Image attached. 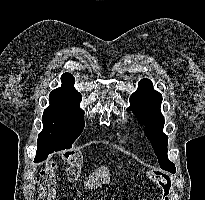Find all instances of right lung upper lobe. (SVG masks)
Masks as SVG:
<instances>
[{
    "label": "right lung upper lobe",
    "instance_id": "1",
    "mask_svg": "<svg viewBox=\"0 0 205 200\" xmlns=\"http://www.w3.org/2000/svg\"><path fill=\"white\" fill-rule=\"evenodd\" d=\"M61 81H62V86H61L62 88L76 91L74 88L75 78L70 73H64L61 77Z\"/></svg>",
    "mask_w": 205,
    "mask_h": 200
}]
</instances>
